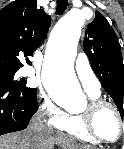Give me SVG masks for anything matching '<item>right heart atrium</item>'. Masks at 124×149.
I'll return each instance as SVG.
<instances>
[{
  "label": "right heart atrium",
  "instance_id": "d8ad5b80",
  "mask_svg": "<svg viewBox=\"0 0 124 149\" xmlns=\"http://www.w3.org/2000/svg\"><path fill=\"white\" fill-rule=\"evenodd\" d=\"M39 112L48 117V125L60 129L66 123L68 114L63 111L54 101L44 98L41 102Z\"/></svg>",
  "mask_w": 124,
  "mask_h": 149
}]
</instances>
